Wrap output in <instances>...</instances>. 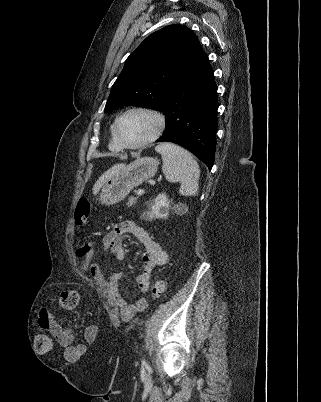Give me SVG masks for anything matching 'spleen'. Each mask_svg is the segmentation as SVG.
I'll list each match as a JSON object with an SVG mask.
<instances>
[{"label": "spleen", "instance_id": "spleen-1", "mask_svg": "<svg viewBox=\"0 0 321 402\" xmlns=\"http://www.w3.org/2000/svg\"><path fill=\"white\" fill-rule=\"evenodd\" d=\"M155 150L162 156V170L166 180L171 183L179 182L180 194L196 195L199 188L200 169L191 153L168 142L160 143Z\"/></svg>", "mask_w": 321, "mask_h": 402}]
</instances>
